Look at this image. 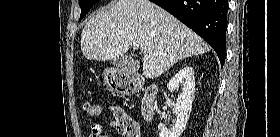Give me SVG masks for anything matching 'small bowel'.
<instances>
[{
  "instance_id": "obj_1",
  "label": "small bowel",
  "mask_w": 280,
  "mask_h": 137,
  "mask_svg": "<svg viewBox=\"0 0 280 137\" xmlns=\"http://www.w3.org/2000/svg\"><path fill=\"white\" fill-rule=\"evenodd\" d=\"M110 111L112 113L113 119L107 122L106 124H92L89 137H107V135H105L104 133L106 127H110L117 130L125 137H141L140 132L135 136L131 135L127 125V119H130V117L125 113V111L121 107L112 106L110 108Z\"/></svg>"
}]
</instances>
